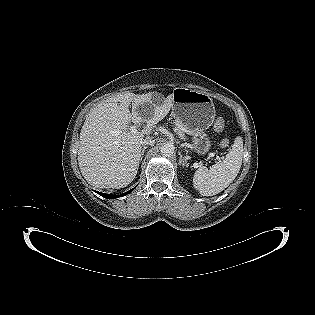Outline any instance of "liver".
<instances>
[{
	"label": "liver",
	"instance_id": "liver-1",
	"mask_svg": "<svg viewBox=\"0 0 315 315\" xmlns=\"http://www.w3.org/2000/svg\"><path fill=\"white\" fill-rule=\"evenodd\" d=\"M152 94L125 92L99 103L82 126L78 162L82 175L96 188L120 189L135 178L141 160L142 141L169 113L172 94L162 104H152L150 117L143 118L137 107L152 103ZM132 103L133 112L129 110ZM146 122L142 131L133 132L129 123Z\"/></svg>",
	"mask_w": 315,
	"mask_h": 315
}]
</instances>
